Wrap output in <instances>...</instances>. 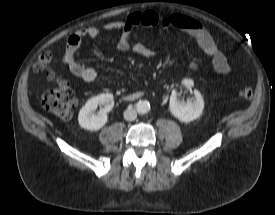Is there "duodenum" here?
Segmentation results:
<instances>
[{
  "label": "duodenum",
  "mask_w": 275,
  "mask_h": 215,
  "mask_svg": "<svg viewBox=\"0 0 275 215\" xmlns=\"http://www.w3.org/2000/svg\"><path fill=\"white\" fill-rule=\"evenodd\" d=\"M143 95L141 93H134V94H128L122 97V100L125 102H133L140 98H142Z\"/></svg>",
  "instance_id": "obj_1"
}]
</instances>
